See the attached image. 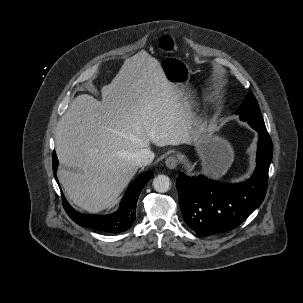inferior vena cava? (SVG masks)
I'll list each match as a JSON object with an SVG mask.
<instances>
[{
    "mask_svg": "<svg viewBox=\"0 0 303 303\" xmlns=\"http://www.w3.org/2000/svg\"><path fill=\"white\" fill-rule=\"evenodd\" d=\"M154 159V153L150 149H141L134 154L133 160L138 167L149 165Z\"/></svg>",
    "mask_w": 303,
    "mask_h": 303,
    "instance_id": "602c4592",
    "label": "inferior vena cava"
}]
</instances>
